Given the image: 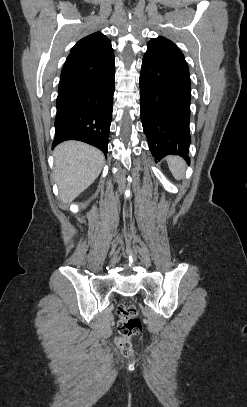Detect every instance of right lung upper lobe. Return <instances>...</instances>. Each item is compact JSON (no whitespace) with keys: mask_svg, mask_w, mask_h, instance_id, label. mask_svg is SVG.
<instances>
[{"mask_svg":"<svg viewBox=\"0 0 247 407\" xmlns=\"http://www.w3.org/2000/svg\"><path fill=\"white\" fill-rule=\"evenodd\" d=\"M113 56L111 42L101 32H95L82 38L71 49L67 57L59 86L80 78L94 66Z\"/></svg>","mask_w":247,"mask_h":407,"instance_id":"1","label":"right lung upper lobe"}]
</instances>
